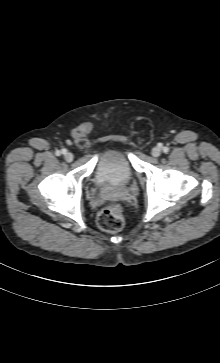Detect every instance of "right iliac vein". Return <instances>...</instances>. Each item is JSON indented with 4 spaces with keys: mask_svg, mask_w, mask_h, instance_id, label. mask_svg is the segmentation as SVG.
Segmentation results:
<instances>
[{
    "mask_svg": "<svg viewBox=\"0 0 220 363\" xmlns=\"http://www.w3.org/2000/svg\"><path fill=\"white\" fill-rule=\"evenodd\" d=\"M64 159H65L67 162H71V161H73L74 156H73V154H72L71 152H66V153L64 154Z\"/></svg>",
    "mask_w": 220,
    "mask_h": 363,
    "instance_id": "1",
    "label": "right iliac vein"
}]
</instances>
